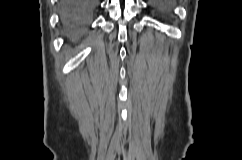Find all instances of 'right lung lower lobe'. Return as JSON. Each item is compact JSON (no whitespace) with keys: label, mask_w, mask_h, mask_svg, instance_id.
<instances>
[{"label":"right lung lower lobe","mask_w":242,"mask_h":160,"mask_svg":"<svg viewBox=\"0 0 242 160\" xmlns=\"http://www.w3.org/2000/svg\"><path fill=\"white\" fill-rule=\"evenodd\" d=\"M99 0H61L64 27L72 34L78 33L91 20Z\"/></svg>","instance_id":"obj_1"}]
</instances>
